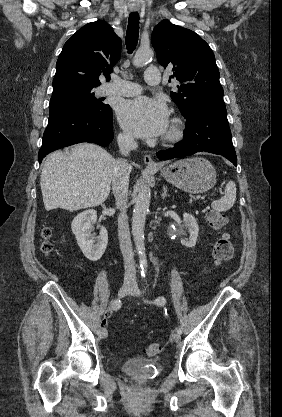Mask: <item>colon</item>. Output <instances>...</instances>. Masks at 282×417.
Masks as SVG:
<instances>
[{"label":"colon","mask_w":282,"mask_h":417,"mask_svg":"<svg viewBox=\"0 0 282 417\" xmlns=\"http://www.w3.org/2000/svg\"><path fill=\"white\" fill-rule=\"evenodd\" d=\"M205 219L208 225L215 231L218 236L214 242L213 247V261L215 266H220L232 259L234 253V246L231 238L225 234V228L228 223L227 216L218 210H208ZM52 236V230L46 227L42 231V237L46 240L42 244V251L46 254L52 252V247L49 239ZM163 349V344L159 342L150 343L146 347V355L148 357H157Z\"/></svg>","instance_id":"colon-1"}]
</instances>
